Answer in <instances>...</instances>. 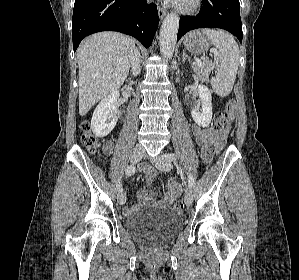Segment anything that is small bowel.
<instances>
[{"instance_id": "obj_1", "label": "small bowel", "mask_w": 299, "mask_h": 280, "mask_svg": "<svg viewBox=\"0 0 299 280\" xmlns=\"http://www.w3.org/2000/svg\"><path fill=\"white\" fill-rule=\"evenodd\" d=\"M192 133L196 139V143L198 147L201 148L208 144V143H213L215 150L222 148L228 137L229 133V128H224L220 133L215 134L213 129L208 127V128H201L197 125L192 126ZM113 149V142L108 141L104 145V152L105 154L109 155L111 154ZM157 173L153 170H150L146 174V182L151 183L154 181L156 178ZM181 193V187L175 182H171L169 184L168 190L164 196V199L160 202H157L155 200V196L152 193H149L146 190H141L138 193V203L134 204L133 206L129 208H125L124 212L126 214H132L136 211L139 210L140 207L142 206H161L165 207L168 205H171L175 199L180 195Z\"/></svg>"}]
</instances>
